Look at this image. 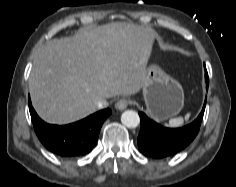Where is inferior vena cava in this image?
Wrapping results in <instances>:
<instances>
[{
  "mask_svg": "<svg viewBox=\"0 0 236 187\" xmlns=\"http://www.w3.org/2000/svg\"><path fill=\"white\" fill-rule=\"evenodd\" d=\"M108 105L109 104H108V102L105 98H102V99L98 100L97 103H96L97 109L106 108Z\"/></svg>",
  "mask_w": 236,
  "mask_h": 187,
  "instance_id": "inferior-vena-cava-1",
  "label": "inferior vena cava"
}]
</instances>
